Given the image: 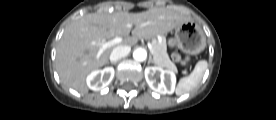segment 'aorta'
Masks as SVG:
<instances>
[{
  "mask_svg": "<svg viewBox=\"0 0 276 120\" xmlns=\"http://www.w3.org/2000/svg\"><path fill=\"white\" fill-rule=\"evenodd\" d=\"M133 58L136 60V61H139V62H143L146 60L147 58V52L145 49L143 48H137L134 50L133 52Z\"/></svg>",
  "mask_w": 276,
  "mask_h": 120,
  "instance_id": "1",
  "label": "aorta"
}]
</instances>
